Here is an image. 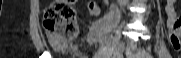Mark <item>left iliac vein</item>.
Listing matches in <instances>:
<instances>
[{"mask_svg":"<svg viewBox=\"0 0 181 58\" xmlns=\"http://www.w3.org/2000/svg\"><path fill=\"white\" fill-rule=\"evenodd\" d=\"M126 54L129 58H143V56L141 55V51L135 50L133 47L127 48Z\"/></svg>","mask_w":181,"mask_h":58,"instance_id":"obj_1","label":"left iliac vein"}]
</instances>
